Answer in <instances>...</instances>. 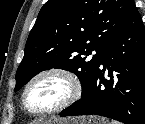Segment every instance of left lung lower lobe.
Returning a JSON list of instances; mask_svg holds the SVG:
<instances>
[{"instance_id":"obj_1","label":"left lung lower lobe","mask_w":145,"mask_h":124,"mask_svg":"<svg viewBox=\"0 0 145 124\" xmlns=\"http://www.w3.org/2000/svg\"><path fill=\"white\" fill-rule=\"evenodd\" d=\"M101 64L104 68H98L81 99L60 115H101L124 124H145V28L136 6ZM106 69L110 80L104 78Z\"/></svg>"}]
</instances>
